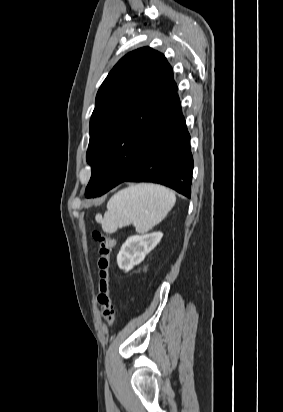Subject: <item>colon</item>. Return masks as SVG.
Instances as JSON below:
<instances>
[{"instance_id":"1","label":"colon","mask_w":283,"mask_h":412,"mask_svg":"<svg viewBox=\"0 0 283 412\" xmlns=\"http://www.w3.org/2000/svg\"><path fill=\"white\" fill-rule=\"evenodd\" d=\"M97 245L98 292L97 303L101 314L109 326L115 323V306L111 296V254L115 246L114 239L101 231L92 232Z\"/></svg>"}]
</instances>
